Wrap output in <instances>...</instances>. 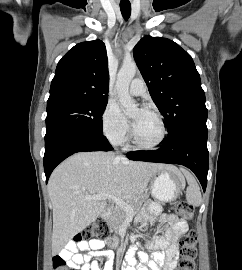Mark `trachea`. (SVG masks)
Instances as JSON below:
<instances>
[{"label":"trachea","instance_id":"3493384b","mask_svg":"<svg viewBox=\"0 0 242 270\" xmlns=\"http://www.w3.org/2000/svg\"><path fill=\"white\" fill-rule=\"evenodd\" d=\"M120 10L122 13V16L124 17L125 20H128L130 15H131V6H120Z\"/></svg>","mask_w":242,"mask_h":270}]
</instances>
